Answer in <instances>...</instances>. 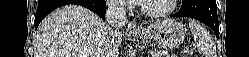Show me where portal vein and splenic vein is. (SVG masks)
<instances>
[{
    "mask_svg": "<svg viewBox=\"0 0 249 57\" xmlns=\"http://www.w3.org/2000/svg\"><path fill=\"white\" fill-rule=\"evenodd\" d=\"M152 57H160V55L159 54H155Z\"/></svg>",
    "mask_w": 249,
    "mask_h": 57,
    "instance_id": "portal-vein-and-splenic-vein-1",
    "label": "portal vein and splenic vein"
}]
</instances>
